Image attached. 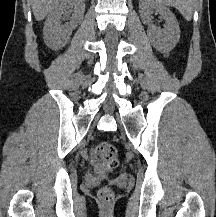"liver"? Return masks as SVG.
<instances>
[{"label": "liver", "instance_id": "liver-1", "mask_svg": "<svg viewBox=\"0 0 216 217\" xmlns=\"http://www.w3.org/2000/svg\"><path fill=\"white\" fill-rule=\"evenodd\" d=\"M61 0H31L32 11L37 21L43 20Z\"/></svg>", "mask_w": 216, "mask_h": 217}]
</instances>
